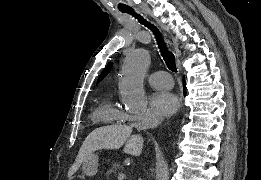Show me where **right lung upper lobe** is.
Listing matches in <instances>:
<instances>
[{"mask_svg": "<svg viewBox=\"0 0 261 180\" xmlns=\"http://www.w3.org/2000/svg\"><path fill=\"white\" fill-rule=\"evenodd\" d=\"M112 67V63H110L105 70L102 72V74L99 76L98 82H100L110 71V68Z\"/></svg>", "mask_w": 261, "mask_h": 180, "instance_id": "obj_1", "label": "right lung upper lobe"}]
</instances>
